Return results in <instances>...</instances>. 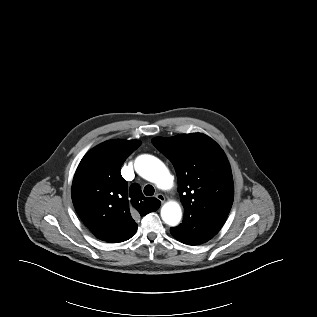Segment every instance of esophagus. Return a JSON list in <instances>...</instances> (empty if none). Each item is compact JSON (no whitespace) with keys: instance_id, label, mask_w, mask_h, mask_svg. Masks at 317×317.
Segmentation results:
<instances>
[{"instance_id":"1","label":"esophagus","mask_w":317,"mask_h":317,"mask_svg":"<svg viewBox=\"0 0 317 317\" xmlns=\"http://www.w3.org/2000/svg\"><path fill=\"white\" fill-rule=\"evenodd\" d=\"M156 198H157L158 200H160L161 203H163V202L165 201V196H164L163 194H161V193H158V194L156 195Z\"/></svg>"}]
</instances>
